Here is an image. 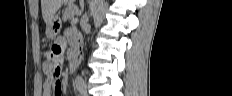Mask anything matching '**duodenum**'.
<instances>
[{
  "label": "duodenum",
  "instance_id": "obj_1",
  "mask_svg": "<svg viewBox=\"0 0 232 96\" xmlns=\"http://www.w3.org/2000/svg\"><path fill=\"white\" fill-rule=\"evenodd\" d=\"M81 55H82L81 46L77 45L74 48L73 53L71 55V60L69 63V71L70 72H73L76 69L77 65L79 64V60L81 58Z\"/></svg>",
  "mask_w": 232,
  "mask_h": 96
}]
</instances>
